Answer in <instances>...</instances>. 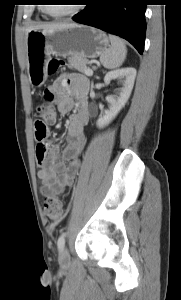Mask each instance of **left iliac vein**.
<instances>
[{
    "label": "left iliac vein",
    "instance_id": "left-iliac-vein-1",
    "mask_svg": "<svg viewBox=\"0 0 181 300\" xmlns=\"http://www.w3.org/2000/svg\"><path fill=\"white\" fill-rule=\"evenodd\" d=\"M59 263L63 267L68 266L70 263V254L66 248H63L59 254Z\"/></svg>",
    "mask_w": 181,
    "mask_h": 300
}]
</instances>
